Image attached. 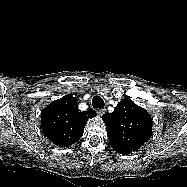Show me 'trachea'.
Masks as SVG:
<instances>
[{
  "mask_svg": "<svg viewBox=\"0 0 187 187\" xmlns=\"http://www.w3.org/2000/svg\"><path fill=\"white\" fill-rule=\"evenodd\" d=\"M92 105L95 108H103L105 103L100 96L96 95V96H94V98L92 100Z\"/></svg>",
  "mask_w": 187,
  "mask_h": 187,
  "instance_id": "1",
  "label": "trachea"
}]
</instances>
